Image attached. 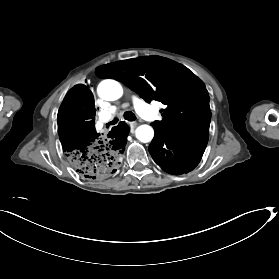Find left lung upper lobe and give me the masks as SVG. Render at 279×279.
I'll list each match as a JSON object with an SVG mask.
<instances>
[{
	"label": "left lung upper lobe",
	"instance_id": "left-lung-upper-lobe-1",
	"mask_svg": "<svg viewBox=\"0 0 279 279\" xmlns=\"http://www.w3.org/2000/svg\"><path fill=\"white\" fill-rule=\"evenodd\" d=\"M99 78L123 82L146 102L160 101L162 120L155 129L183 137L208 138L211 111L203 82L182 64L161 56L117 61L96 69Z\"/></svg>",
	"mask_w": 279,
	"mask_h": 279
}]
</instances>
